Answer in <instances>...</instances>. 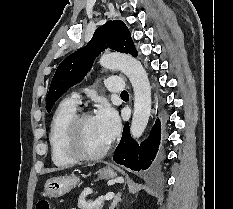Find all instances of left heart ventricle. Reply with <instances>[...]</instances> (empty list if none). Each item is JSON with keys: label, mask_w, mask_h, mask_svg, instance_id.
<instances>
[{"label": "left heart ventricle", "mask_w": 233, "mask_h": 209, "mask_svg": "<svg viewBox=\"0 0 233 209\" xmlns=\"http://www.w3.org/2000/svg\"><path fill=\"white\" fill-rule=\"evenodd\" d=\"M108 141L101 134L94 117L85 119L79 129V145L88 153L100 151Z\"/></svg>", "instance_id": "b2bd125f"}]
</instances>
